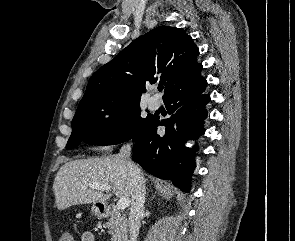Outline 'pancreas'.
Segmentation results:
<instances>
[{
  "label": "pancreas",
  "mask_w": 295,
  "mask_h": 241,
  "mask_svg": "<svg viewBox=\"0 0 295 241\" xmlns=\"http://www.w3.org/2000/svg\"><path fill=\"white\" fill-rule=\"evenodd\" d=\"M127 219L124 214L113 208L109 213V219L105 224L108 233L112 235L111 241H124L127 234Z\"/></svg>",
  "instance_id": "pancreas-1"
}]
</instances>
